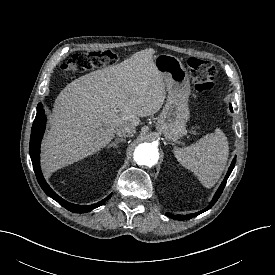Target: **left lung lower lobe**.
<instances>
[{
	"label": "left lung lower lobe",
	"mask_w": 275,
	"mask_h": 275,
	"mask_svg": "<svg viewBox=\"0 0 275 275\" xmlns=\"http://www.w3.org/2000/svg\"><path fill=\"white\" fill-rule=\"evenodd\" d=\"M235 162H236V158L233 159L232 163H231V166L229 167L228 169V172L225 176V179L223 180L222 184L220 185V187L218 188L217 192L215 193L211 203L204 209V210H201L199 212H196V213H193V214H189V215H186V216H174L170 213H167V216L170 217V218H173V219H178V220H187V219H190L194 216H197L207 210H209L214 204L215 202L218 200V198L220 197L221 193L223 192V189L226 185V182H227V179L229 177V175L231 174L233 168H234V165H235Z\"/></svg>",
	"instance_id": "left-lung-lower-lobe-1"
}]
</instances>
